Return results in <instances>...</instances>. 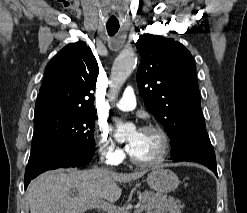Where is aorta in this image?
I'll use <instances>...</instances> for the list:
<instances>
[{
	"label": "aorta",
	"instance_id": "aorta-1",
	"mask_svg": "<svg viewBox=\"0 0 247 213\" xmlns=\"http://www.w3.org/2000/svg\"><path fill=\"white\" fill-rule=\"evenodd\" d=\"M137 58L133 52H122L116 59L111 72V98H115L119 88L130 76ZM133 128L132 124L117 123V132L126 133Z\"/></svg>",
	"mask_w": 247,
	"mask_h": 213
}]
</instances>
